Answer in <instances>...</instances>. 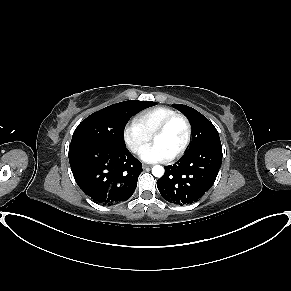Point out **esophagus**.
Instances as JSON below:
<instances>
[{
	"label": "esophagus",
	"mask_w": 291,
	"mask_h": 291,
	"mask_svg": "<svg viewBox=\"0 0 291 291\" xmlns=\"http://www.w3.org/2000/svg\"><path fill=\"white\" fill-rule=\"evenodd\" d=\"M142 167H143V169H147V168L150 167V165H148V164H143Z\"/></svg>",
	"instance_id": "obj_1"
}]
</instances>
